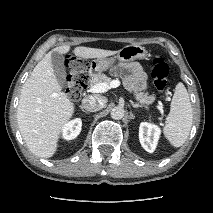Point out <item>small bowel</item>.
Returning a JSON list of instances; mask_svg holds the SVG:
<instances>
[{
    "mask_svg": "<svg viewBox=\"0 0 213 213\" xmlns=\"http://www.w3.org/2000/svg\"><path fill=\"white\" fill-rule=\"evenodd\" d=\"M128 72L126 84L134 90H143L146 88V73L138 63H129L122 65Z\"/></svg>",
    "mask_w": 213,
    "mask_h": 213,
    "instance_id": "1",
    "label": "small bowel"
}]
</instances>
